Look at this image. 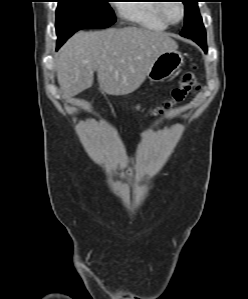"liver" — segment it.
Masks as SVG:
<instances>
[{"instance_id":"liver-1","label":"liver","mask_w":248,"mask_h":299,"mask_svg":"<svg viewBox=\"0 0 248 299\" xmlns=\"http://www.w3.org/2000/svg\"><path fill=\"white\" fill-rule=\"evenodd\" d=\"M167 34L137 27L78 32L60 49L55 60L57 80L65 99L93 84L97 71L100 89L108 95L137 90L162 53L176 50Z\"/></svg>"}]
</instances>
